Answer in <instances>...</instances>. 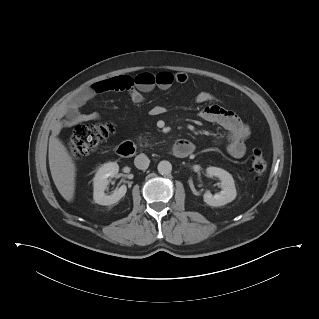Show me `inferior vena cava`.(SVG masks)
I'll list each match as a JSON object with an SVG mask.
<instances>
[{
	"label": "inferior vena cava",
	"instance_id": "inferior-vena-cava-1",
	"mask_svg": "<svg viewBox=\"0 0 319 319\" xmlns=\"http://www.w3.org/2000/svg\"><path fill=\"white\" fill-rule=\"evenodd\" d=\"M150 160L145 154H139L134 159V164L138 169L146 170L149 166Z\"/></svg>",
	"mask_w": 319,
	"mask_h": 319
}]
</instances>
